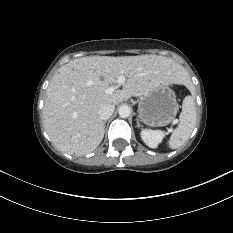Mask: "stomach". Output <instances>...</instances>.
I'll return each instance as SVG.
<instances>
[{"mask_svg":"<svg viewBox=\"0 0 233 233\" xmlns=\"http://www.w3.org/2000/svg\"><path fill=\"white\" fill-rule=\"evenodd\" d=\"M138 113L141 121L151 127L171 123L177 114V101L174 91L161 86L141 97Z\"/></svg>","mask_w":233,"mask_h":233,"instance_id":"obj_1","label":"stomach"}]
</instances>
